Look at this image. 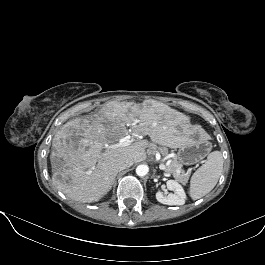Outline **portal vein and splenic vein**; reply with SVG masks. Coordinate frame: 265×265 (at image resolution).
Here are the masks:
<instances>
[{"instance_id":"obj_1","label":"portal vein and splenic vein","mask_w":265,"mask_h":265,"mask_svg":"<svg viewBox=\"0 0 265 265\" xmlns=\"http://www.w3.org/2000/svg\"><path fill=\"white\" fill-rule=\"evenodd\" d=\"M132 142H133V140L130 138V136H126V137L120 139V140L118 141V143L113 144V145H111V146H109V147H110L111 149H116V148H119V147H126V146L131 145ZM159 168H160L161 170H165V169H166V165H164V164H160V165H159Z\"/></svg>"}]
</instances>
